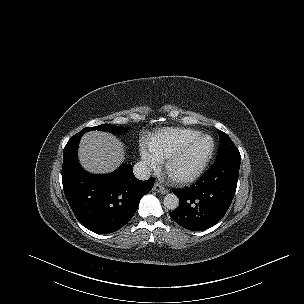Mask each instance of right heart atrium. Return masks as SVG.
<instances>
[{
	"label": "right heart atrium",
	"instance_id": "obj_1",
	"mask_svg": "<svg viewBox=\"0 0 304 304\" xmlns=\"http://www.w3.org/2000/svg\"><path fill=\"white\" fill-rule=\"evenodd\" d=\"M140 156L143 163L151 169L158 168L161 163V157L145 144L140 147Z\"/></svg>",
	"mask_w": 304,
	"mask_h": 304
}]
</instances>
